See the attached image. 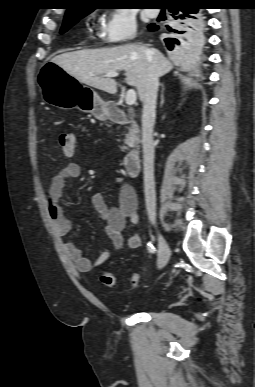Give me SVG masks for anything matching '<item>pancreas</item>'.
<instances>
[{"instance_id":"1","label":"pancreas","mask_w":255,"mask_h":387,"mask_svg":"<svg viewBox=\"0 0 255 387\" xmlns=\"http://www.w3.org/2000/svg\"><path fill=\"white\" fill-rule=\"evenodd\" d=\"M130 143H131V139H130V137H129V134H125L124 144H125V145H129ZM125 145H123V146L120 147L122 151H124V150L127 149V146H125Z\"/></svg>"}]
</instances>
